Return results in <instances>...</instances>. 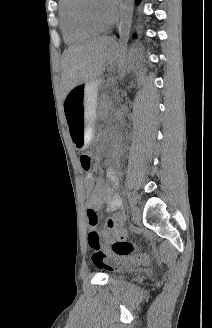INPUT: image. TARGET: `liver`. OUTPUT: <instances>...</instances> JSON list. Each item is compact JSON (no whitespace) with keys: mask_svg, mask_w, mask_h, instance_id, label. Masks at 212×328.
I'll return each mask as SVG.
<instances>
[{"mask_svg":"<svg viewBox=\"0 0 212 328\" xmlns=\"http://www.w3.org/2000/svg\"><path fill=\"white\" fill-rule=\"evenodd\" d=\"M110 44L108 37H100L64 51L61 77L64 97L73 87L97 80L103 74Z\"/></svg>","mask_w":212,"mask_h":328,"instance_id":"liver-1","label":"liver"}]
</instances>
